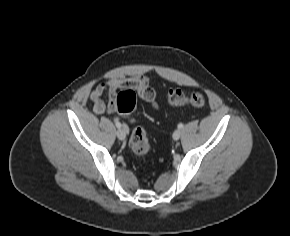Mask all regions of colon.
Segmentation results:
<instances>
[{
	"mask_svg": "<svg viewBox=\"0 0 290 236\" xmlns=\"http://www.w3.org/2000/svg\"><path fill=\"white\" fill-rule=\"evenodd\" d=\"M168 102L171 106L189 105L202 107L206 103L203 93L193 92L186 94L181 90H171L168 94ZM115 108L122 114L130 115L136 108V94L133 89L126 88L116 96ZM129 146L132 152L139 156H145L150 150V141L146 131L142 127L133 129Z\"/></svg>",
	"mask_w": 290,
	"mask_h": 236,
	"instance_id": "1",
	"label": "colon"
}]
</instances>
